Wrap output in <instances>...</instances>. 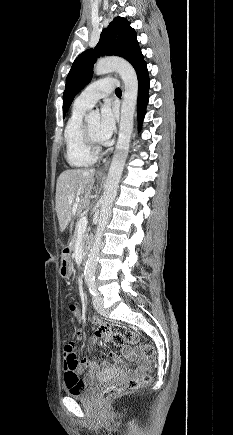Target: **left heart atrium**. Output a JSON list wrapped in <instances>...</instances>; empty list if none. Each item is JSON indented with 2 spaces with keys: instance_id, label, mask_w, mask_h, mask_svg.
<instances>
[{
  "instance_id": "1",
  "label": "left heart atrium",
  "mask_w": 233,
  "mask_h": 435,
  "mask_svg": "<svg viewBox=\"0 0 233 435\" xmlns=\"http://www.w3.org/2000/svg\"><path fill=\"white\" fill-rule=\"evenodd\" d=\"M116 120V110L108 102L105 103L101 108V119L98 130L99 143H110L111 137L116 130Z\"/></svg>"
}]
</instances>
